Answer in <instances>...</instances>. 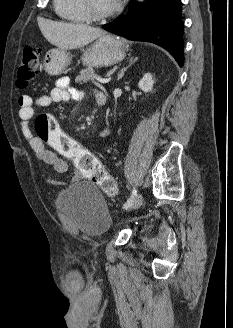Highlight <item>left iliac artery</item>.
<instances>
[{
	"mask_svg": "<svg viewBox=\"0 0 233 328\" xmlns=\"http://www.w3.org/2000/svg\"><path fill=\"white\" fill-rule=\"evenodd\" d=\"M136 196H137V190L136 189H133L130 198L123 205V208L124 209H127L132 204V202L135 200Z\"/></svg>",
	"mask_w": 233,
	"mask_h": 328,
	"instance_id": "1",
	"label": "left iliac artery"
}]
</instances>
